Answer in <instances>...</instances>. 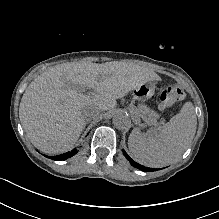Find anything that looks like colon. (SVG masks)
<instances>
[{"instance_id":"1","label":"colon","mask_w":219,"mask_h":219,"mask_svg":"<svg viewBox=\"0 0 219 219\" xmlns=\"http://www.w3.org/2000/svg\"><path fill=\"white\" fill-rule=\"evenodd\" d=\"M184 97L185 92L179 84L170 85L159 94L160 108L163 110L169 108L175 102L182 100Z\"/></svg>"}]
</instances>
